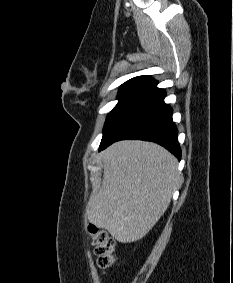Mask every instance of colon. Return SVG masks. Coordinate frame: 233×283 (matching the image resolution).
<instances>
[{
	"label": "colon",
	"instance_id": "1",
	"mask_svg": "<svg viewBox=\"0 0 233 283\" xmlns=\"http://www.w3.org/2000/svg\"><path fill=\"white\" fill-rule=\"evenodd\" d=\"M87 230L91 242L94 245L98 266L102 269L112 266L115 262L114 240L105 231L99 229L93 224H89Z\"/></svg>",
	"mask_w": 233,
	"mask_h": 283
}]
</instances>
